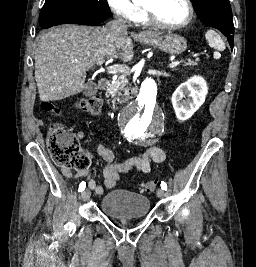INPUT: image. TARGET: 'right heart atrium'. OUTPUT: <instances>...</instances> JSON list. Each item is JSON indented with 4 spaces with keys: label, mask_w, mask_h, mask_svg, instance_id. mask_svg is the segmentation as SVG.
I'll return each mask as SVG.
<instances>
[{
    "label": "right heart atrium",
    "mask_w": 256,
    "mask_h": 267,
    "mask_svg": "<svg viewBox=\"0 0 256 267\" xmlns=\"http://www.w3.org/2000/svg\"><path fill=\"white\" fill-rule=\"evenodd\" d=\"M143 13L144 11L140 4L133 5L130 13L125 16H119L116 12H114L116 17L121 18L126 22H133L139 19L140 17H142Z\"/></svg>",
    "instance_id": "d8ad5b80"
}]
</instances>
